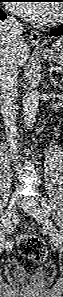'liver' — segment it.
Returning <instances> with one entry per match:
<instances>
[{"label": "liver", "instance_id": "1", "mask_svg": "<svg viewBox=\"0 0 63 297\" xmlns=\"http://www.w3.org/2000/svg\"><path fill=\"white\" fill-rule=\"evenodd\" d=\"M12 51L17 67L23 66L29 53L26 43L22 42L13 46L8 38L1 36L0 32V61L2 58L7 59V57L11 56Z\"/></svg>", "mask_w": 63, "mask_h": 297}]
</instances>
